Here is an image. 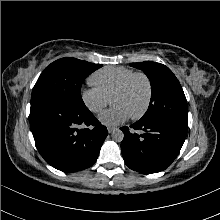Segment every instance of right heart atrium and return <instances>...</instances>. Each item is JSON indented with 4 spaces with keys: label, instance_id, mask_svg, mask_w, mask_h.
<instances>
[{
    "label": "right heart atrium",
    "instance_id": "1",
    "mask_svg": "<svg viewBox=\"0 0 220 220\" xmlns=\"http://www.w3.org/2000/svg\"><path fill=\"white\" fill-rule=\"evenodd\" d=\"M80 96L84 106L94 114L104 109L109 101V98L94 86L84 88Z\"/></svg>",
    "mask_w": 220,
    "mask_h": 220
}]
</instances>
